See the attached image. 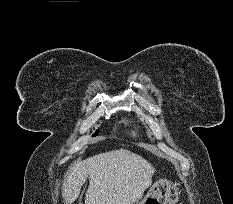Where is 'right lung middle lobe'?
<instances>
[{
	"mask_svg": "<svg viewBox=\"0 0 233 204\" xmlns=\"http://www.w3.org/2000/svg\"><path fill=\"white\" fill-rule=\"evenodd\" d=\"M98 134V130L93 134V136H96Z\"/></svg>",
	"mask_w": 233,
	"mask_h": 204,
	"instance_id": "1",
	"label": "right lung middle lobe"
}]
</instances>
